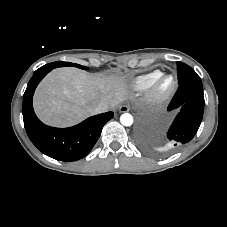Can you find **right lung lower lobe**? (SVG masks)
Wrapping results in <instances>:
<instances>
[{"mask_svg":"<svg viewBox=\"0 0 227 227\" xmlns=\"http://www.w3.org/2000/svg\"><path fill=\"white\" fill-rule=\"evenodd\" d=\"M52 70L41 67L30 79L23 96V120L32 143L45 155L60 161H75L85 157L100 137L103 126L113 118V112L89 117L70 128H54L43 124L35 115L32 98L44 76Z\"/></svg>","mask_w":227,"mask_h":227,"instance_id":"1","label":"right lung lower lobe"}]
</instances>
